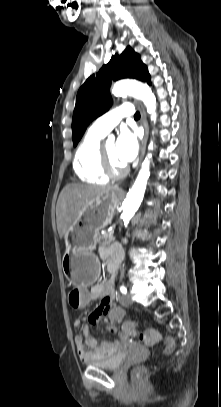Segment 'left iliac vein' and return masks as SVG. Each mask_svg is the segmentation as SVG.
Returning a JSON list of instances; mask_svg holds the SVG:
<instances>
[{
	"label": "left iliac vein",
	"mask_w": 221,
	"mask_h": 407,
	"mask_svg": "<svg viewBox=\"0 0 221 407\" xmlns=\"http://www.w3.org/2000/svg\"><path fill=\"white\" fill-rule=\"evenodd\" d=\"M122 302H123L125 305H131V304L133 303V300H132L131 295H130V294H125V295H123V297H122Z\"/></svg>",
	"instance_id": "1"
}]
</instances>
